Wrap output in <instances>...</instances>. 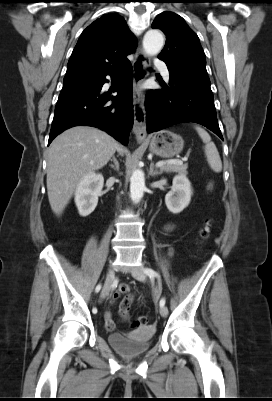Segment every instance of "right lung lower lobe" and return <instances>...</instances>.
<instances>
[{
    "instance_id": "right-lung-lower-lobe-1",
    "label": "right lung lower lobe",
    "mask_w": 272,
    "mask_h": 401,
    "mask_svg": "<svg viewBox=\"0 0 272 401\" xmlns=\"http://www.w3.org/2000/svg\"><path fill=\"white\" fill-rule=\"evenodd\" d=\"M107 75L118 79L115 88L117 96H110L111 93L102 91L103 84L108 81ZM132 80L133 69L127 60L96 81L61 91L48 144L64 130L86 125L100 128L126 145L134 119Z\"/></svg>"
}]
</instances>
